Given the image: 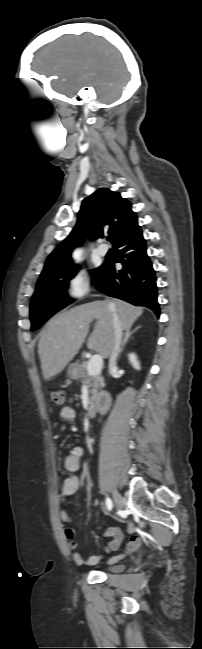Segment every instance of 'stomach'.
I'll return each instance as SVG.
<instances>
[{
  "label": "stomach",
  "instance_id": "stomach-1",
  "mask_svg": "<svg viewBox=\"0 0 202 649\" xmlns=\"http://www.w3.org/2000/svg\"><path fill=\"white\" fill-rule=\"evenodd\" d=\"M68 375L72 379H76L78 375L77 365L71 364L68 368Z\"/></svg>",
  "mask_w": 202,
  "mask_h": 649
}]
</instances>
